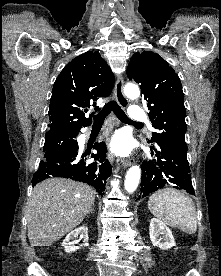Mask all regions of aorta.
<instances>
[{
  "label": "aorta",
  "mask_w": 221,
  "mask_h": 276,
  "mask_svg": "<svg viewBox=\"0 0 221 276\" xmlns=\"http://www.w3.org/2000/svg\"><path fill=\"white\" fill-rule=\"evenodd\" d=\"M124 93L128 98L132 100L137 99L140 95L138 86L134 84H127L124 88ZM140 177H141V170H140V167L137 165L132 166L127 171L124 187L128 193H133L137 189Z\"/></svg>",
  "instance_id": "762f6f07"
}]
</instances>
